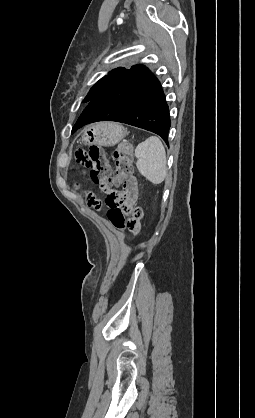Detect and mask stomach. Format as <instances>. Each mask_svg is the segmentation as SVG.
<instances>
[{
    "instance_id": "stomach-1",
    "label": "stomach",
    "mask_w": 255,
    "mask_h": 418,
    "mask_svg": "<svg viewBox=\"0 0 255 418\" xmlns=\"http://www.w3.org/2000/svg\"><path fill=\"white\" fill-rule=\"evenodd\" d=\"M124 136L125 131L122 126L115 123H99L87 128L82 140L89 145L113 146Z\"/></svg>"
}]
</instances>
